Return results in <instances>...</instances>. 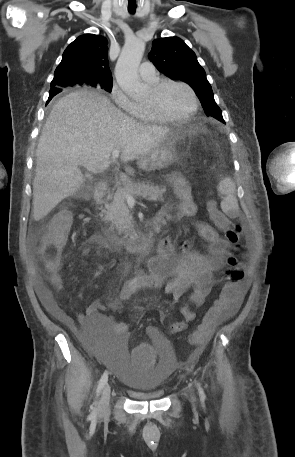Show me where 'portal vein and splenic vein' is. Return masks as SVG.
Returning a JSON list of instances; mask_svg holds the SVG:
<instances>
[{
  "mask_svg": "<svg viewBox=\"0 0 295 457\" xmlns=\"http://www.w3.org/2000/svg\"><path fill=\"white\" fill-rule=\"evenodd\" d=\"M120 151L121 150L119 148H116V149L113 150V152H112V159L113 160H115V159H117L119 157ZM126 200H127V202H134L135 201L134 196H132V195H127L126 196Z\"/></svg>",
  "mask_w": 295,
  "mask_h": 457,
  "instance_id": "1",
  "label": "portal vein and splenic vein"
}]
</instances>
